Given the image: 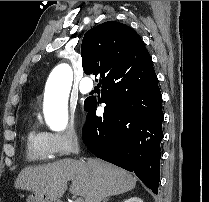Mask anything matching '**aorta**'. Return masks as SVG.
<instances>
[{
  "label": "aorta",
  "instance_id": "obj_1",
  "mask_svg": "<svg viewBox=\"0 0 209 202\" xmlns=\"http://www.w3.org/2000/svg\"><path fill=\"white\" fill-rule=\"evenodd\" d=\"M72 79V70L67 64L56 66L48 77L44 92L43 111L45 121L53 131H63L67 127V100Z\"/></svg>",
  "mask_w": 209,
  "mask_h": 202
}]
</instances>
